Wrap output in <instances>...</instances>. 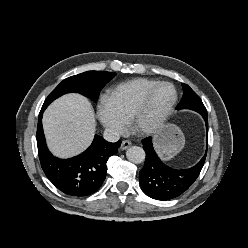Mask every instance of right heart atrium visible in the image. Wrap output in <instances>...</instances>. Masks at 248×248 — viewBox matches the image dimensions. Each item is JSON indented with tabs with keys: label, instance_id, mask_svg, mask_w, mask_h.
Here are the masks:
<instances>
[{
	"label": "right heart atrium",
	"instance_id": "obj_1",
	"mask_svg": "<svg viewBox=\"0 0 248 248\" xmlns=\"http://www.w3.org/2000/svg\"><path fill=\"white\" fill-rule=\"evenodd\" d=\"M97 117L102 126L114 135L122 134L126 129V120L120 115L111 98L107 95H102L99 98Z\"/></svg>",
	"mask_w": 248,
	"mask_h": 248
}]
</instances>
